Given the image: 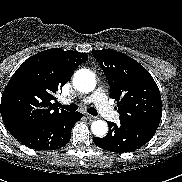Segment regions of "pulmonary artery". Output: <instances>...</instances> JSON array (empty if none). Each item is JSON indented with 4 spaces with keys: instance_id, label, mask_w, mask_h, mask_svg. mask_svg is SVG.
Returning a JSON list of instances; mask_svg holds the SVG:
<instances>
[{
    "instance_id": "1",
    "label": "pulmonary artery",
    "mask_w": 182,
    "mask_h": 182,
    "mask_svg": "<svg viewBox=\"0 0 182 182\" xmlns=\"http://www.w3.org/2000/svg\"><path fill=\"white\" fill-rule=\"evenodd\" d=\"M85 102H93L101 115L109 121H118V113L108 103V98L104 91L99 88L91 96L87 97ZM68 102V100H67Z\"/></svg>"
}]
</instances>
